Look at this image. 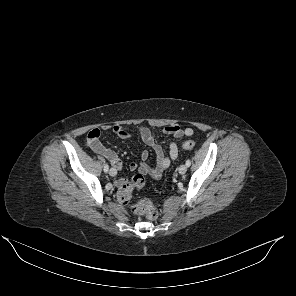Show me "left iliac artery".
Here are the masks:
<instances>
[{
	"label": "left iliac artery",
	"instance_id": "44dca946",
	"mask_svg": "<svg viewBox=\"0 0 296 296\" xmlns=\"http://www.w3.org/2000/svg\"><path fill=\"white\" fill-rule=\"evenodd\" d=\"M190 165H191V161L190 160H187L186 161V166L189 167Z\"/></svg>",
	"mask_w": 296,
	"mask_h": 296
}]
</instances>
